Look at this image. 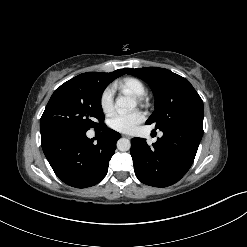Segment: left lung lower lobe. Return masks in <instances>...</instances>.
Returning <instances> with one entry per match:
<instances>
[{
	"instance_id": "obj_1",
	"label": "left lung lower lobe",
	"mask_w": 247,
	"mask_h": 247,
	"mask_svg": "<svg viewBox=\"0 0 247 247\" xmlns=\"http://www.w3.org/2000/svg\"><path fill=\"white\" fill-rule=\"evenodd\" d=\"M152 146L146 139L131 140V156L137 178L144 184L167 187L178 182L191 167L202 134L179 125L162 130Z\"/></svg>"
}]
</instances>
